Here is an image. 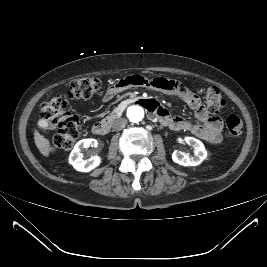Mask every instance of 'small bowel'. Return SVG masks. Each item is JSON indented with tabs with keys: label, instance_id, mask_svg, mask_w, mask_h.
<instances>
[{
	"label": "small bowel",
	"instance_id": "1",
	"mask_svg": "<svg viewBox=\"0 0 267 267\" xmlns=\"http://www.w3.org/2000/svg\"><path fill=\"white\" fill-rule=\"evenodd\" d=\"M136 86H146L179 97L194 111L199 123L194 124L180 116H171L169 112L157 106L159 120L173 130H186L209 143L217 144L222 140L223 121L220 117L212 116L202 103L200 97L184 83L172 79H146L140 75L127 76L112 83L104 96L108 102L118 93Z\"/></svg>",
	"mask_w": 267,
	"mask_h": 267
}]
</instances>
